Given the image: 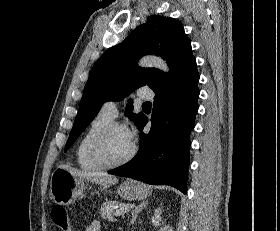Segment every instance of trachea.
I'll list each match as a JSON object with an SVG mask.
<instances>
[{"instance_id":"1","label":"trachea","mask_w":280,"mask_h":231,"mask_svg":"<svg viewBox=\"0 0 280 231\" xmlns=\"http://www.w3.org/2000/svg\"><path fill=\"white\" fill-rule=\"evenodd\" d=\"M142 108L144 110H150L151 109V103L150 102H145L142 104Z\"/></svg>"}]
</instances>
